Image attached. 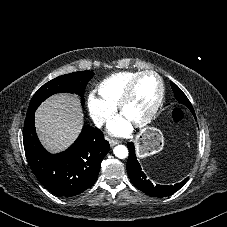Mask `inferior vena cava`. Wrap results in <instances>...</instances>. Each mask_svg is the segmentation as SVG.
<instances>
[{"label": "inferior vena cava", "mask_w": 227, "mask_h": 227, "mask_svg": "<svg viewBox=\"0 0 227 227\" xmlns=\"http://www.w3.org/2000/svg\"><path fill=\"white\" fill-rule=\"evenodd\" d=\"M93 121H94L95 126L100 128L105 123V118H103V117H96V118H94Z\"/></svg>", "instance_id": "1"}]
</instances>
